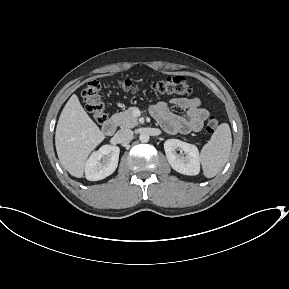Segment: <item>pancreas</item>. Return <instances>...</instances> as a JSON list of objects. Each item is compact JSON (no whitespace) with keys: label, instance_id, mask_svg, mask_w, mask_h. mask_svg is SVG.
<instances>
[{"label":"pancreas","instance_id":"cf45deb5","mask_svg":"<svg viewBox=\"0 0 289 289\" xmlns=\"http://www.w3.org/2000/svg\"><path fill=\"white\" fill-rule=\"evenodd\" d=\"M135 109L136 107H130L123 112L115 113L112 120L121 128H134L138 125V120L133 115Z\"/></svg>","mask_w":289,"mask_h":289}]
</instances>
